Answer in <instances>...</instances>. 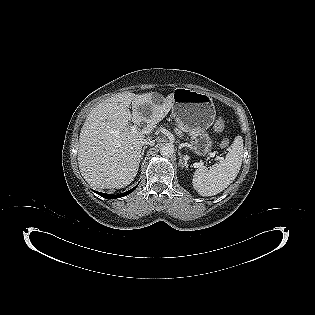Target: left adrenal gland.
I'll use <instances>...</instances> for the list:
<instances>
[{
    "instance_id": "a2214340",
    "label": "left adrenal gland",
    "mask_w": 315,
    "mask_h": 315,
    "mask_svg": "<svg viewBox=\"0 0 315 315\" xmlns=\"http://www.w3.org/2000/svg\"><path fill=\"white\" fill-rule=\"evenodd\" d=\"M178 154H179V163H178V165H179L181 168H184V167L187 168V164L183 162V157H182L181 153L179 152Z\"/></svg>"
}]
</instances>
